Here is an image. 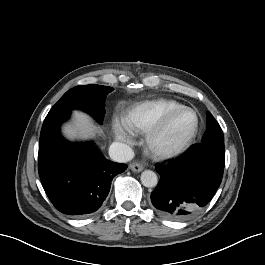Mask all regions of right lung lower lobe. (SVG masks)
I'll return each instance as SVG.
<instances>
[{
  "mask_svg": "<svg viewBox=\"0 0 265 265\" xmlns=\"http://www.w3.org/2000/svg\"><path fill=\"white\" fill-rule=\"evenodd\" d=\"M71 111L48 113L41 134L38 172L43 188L60 212L83 217L99 209L112 179L127 165L107 160L93 142L70 143L59 128Z\"/></svg>",
  "mask_w": 265,
  "mask_h": 265,
  "instance_id": "right-lung-lower-lobe-1",
  "label": "right lung lower lobe"
}]
</instances>
